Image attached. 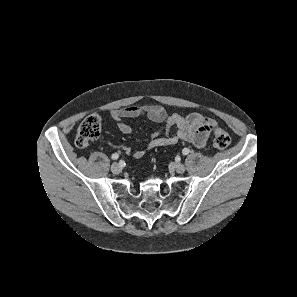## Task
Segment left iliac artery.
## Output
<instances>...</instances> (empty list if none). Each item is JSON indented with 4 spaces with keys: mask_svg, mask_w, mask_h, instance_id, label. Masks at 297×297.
<instances>
[{
    "mask_svg": "<svg viewBox=\"0 0 297 297\" xmlns=\"http://www.w3.org/2000/svg\"><path fill=\"white\" fill-rule=\"evenodd\" d=\"M189 152H190V150H189L188 148H184L183 151H182V153H183L184 155L189 154Z\"/></svg>",
    "mask_w": 297,
    "mask_h": 297,
    "instance_id": "44dca946",
    "label": "left iliac artery"
}]
</instances>
